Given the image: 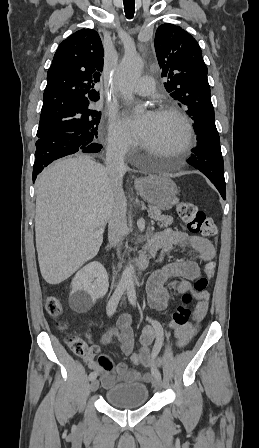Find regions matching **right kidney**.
Listing matches in <instances>:
<instances>
[{"instance_id": "1", "label": "right kidney", "mask_w": 259, "mask_h": 448, "mask_svg": "<svg viewBox=\"0 0 259 448\" xmlns=\"http://www.w3.org/2000/svg\"><path fill=\"white\" fill-rule=\"evenodd\" d=\"M71 286L70 308L78 314H83L90 310L99 298L105 296L109 288L108 274L102 264L90 262L75 274Z\"/></svg>"}]
</instances>
